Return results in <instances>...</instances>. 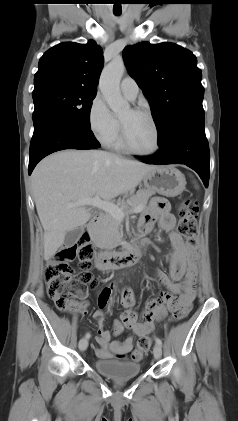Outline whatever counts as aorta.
Listing matches in <instances>:
<instances>
[{
    "instance_id": "1",
    "label": "aorta",
    "mask_w": 238,
    "mask_h": 421,
    "mask_svg": "<svg viewBox=\"0 0 238 421\" xmlns=\"http://www.w3.org/2000/svg\"><path fill=\"white\" fill-rule=\"evenodd\" d=\"M125 69L123 59L115 58L103 69L99 81L100 91L115 113L129 108L128 102L122 98L120 92V81Z\"/></svg>"
}]
</instances>
